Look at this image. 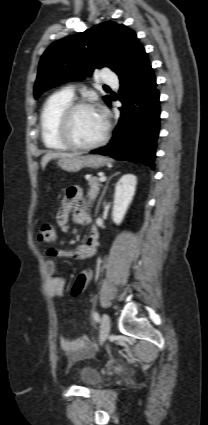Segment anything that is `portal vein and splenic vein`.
<instances>
[{"mask_svg":"<svg viewBox=\"0 0 208 425\" xmlns=\"http://www.w3.org/2000/svg\"><path fill=\"white\" fill-rule=\"evenodd\" d=\"M99 181H100V182H105V181H106V177H105V176H101V177L99 178Z\"/></svg>","mask_w":208,"mask_h":425,"instance_id":"portal-vein-and-splenic-vein-1","label":"portal vein and splenic vein"}]
</instances>
